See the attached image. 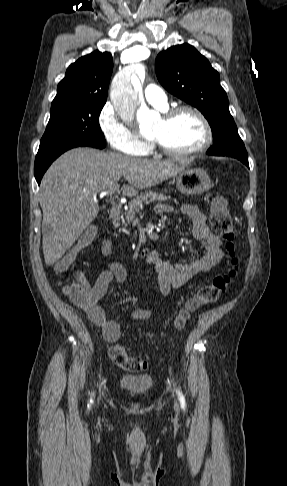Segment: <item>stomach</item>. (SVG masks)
Returning a JSON list of instances; mask_svg holds the SVG:
<instances>
[{
    "instance_id": "obj_1",
    "label": "stomach",
    "mask_w": 287,
    "mask_h": 486,
    "mask_svg": "<svg viewBox=\"0 0 287 486\" xmlns=\"http://www.w3.org/2000/svg\"><path fill=\"white\" fill-rule=\"evenodd\" d=\"M195 165L196 159L193 158L184 170L176 176V186L182 194L198 195L213 186L207 170Z\"/></svg>"
}]
</instances>
